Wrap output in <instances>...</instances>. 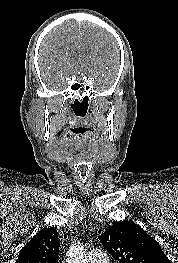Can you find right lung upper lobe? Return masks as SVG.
Here are the masks:
<instances>
[{"label":"right lung upper lobe","instance_id":"cb5924a9","mask_svg":"<svg viewBox=\"0 0 178 263\" xmlns=\"http://www.w3.org/2000/svg\"><path fill=\"white\" fill-rule=\"evenodd\" d=\"M59 244L56 228H44L21 249L16 263H58Z\"/></svg>","mask_w":178,"mask_h":263}]
</instances>
